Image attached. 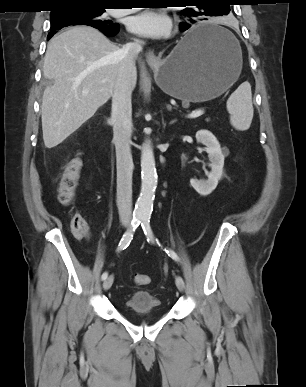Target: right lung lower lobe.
I'll return each instance as SVG.
<instances>
[{"mask_svg":"<svg viewBox=\"0 0 306 387\" xmlns=\"http://www.w3.org/2000/svg\"><path fill=\"white\" fill-rule=\"evenodd\" d=\"M99 30L102 31L106 36L112 37V36H115L116 34H118L119 25H117V27L100 28ZM56 32L57 31H51L48 34V39H50Z\"/></svg>","mask_w":306,"mask_h":387,"instance_id":"right-lung-lower-lobe-1","label":"right lung lower lobe"}]
</instances>
